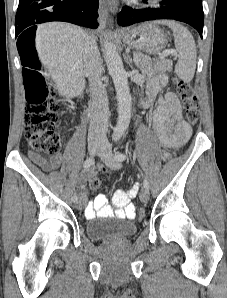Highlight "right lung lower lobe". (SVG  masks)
I'll return each mask as SVG.
<instances>
[{
	"label": "right lung lower lobe",
	"instance_id": "obj_1",
	"mask_svg": "<svg viewBox=\"0 0 227 298\" xmlns=\"http://www.w3.org/2000/svg\"><path fill=\"white\" fill-rule=\"evenodd\" d=\"M98 5V0H19L15 35L22 65L29 66V50L34 49L36 24L65 21L97 28ZM23 75H26L25 69Z\"/></svg>",
	"mask_w": 227,
	"mask_h": 298
}]
</instances>
